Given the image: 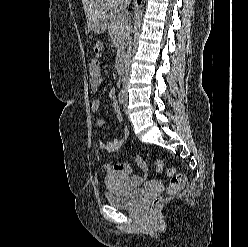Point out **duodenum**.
Returning <instances> with one entry per match:
<instances>
[{"label": "duodenum", "mask_w": 248, "mask_h": 247, "mask_svg": "<svg viewBox=\"0 0 248 247\" xmlns=\"http://www.w3.org/2000/svg\"><path fill=\"white\" fill-rule=\"evenodd\" d=\"M116 70L119 73H123L125 70V56L123 54L118 55L116 60Z\"/></svg>", "instance_id": "obj_1"}]
</instances>
